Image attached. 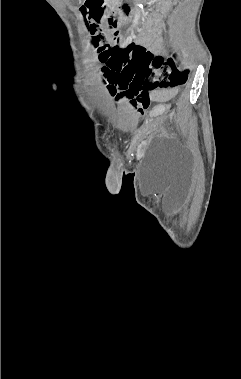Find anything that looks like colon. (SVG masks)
Instances as JSON below:
<instances>
[{"instance_id":"5ec220e1","label":"colon","mask_w":241,"mask_h":379,"mask_svg":"<svg viewBox=\"0 0 241 379\" xmlns=\"http://www.w3.org/2000/svg\"><path fill=\"white\" fill-rule=\"evenodd\" d=\"M80 10L104 64L103 70H98V77L101 82H110V89L134 90L139 83H150L157 88L175 87L186 80V72L177 69L174 59L155 56L141 44L120 45L111 29L101 28L108 13L104 0H85Z\"/></svg>"}]
</instances>
